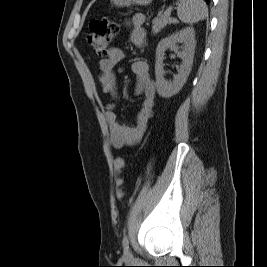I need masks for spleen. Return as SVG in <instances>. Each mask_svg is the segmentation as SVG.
<instances>
[{
	"instance_id": "obj_1",
	"label": "spleen",
	"mask_w": 267,
	"mask_h": 267,
	"mask_svg": "<svg viewBox=\"0 0 267 267\" xmlns=\"http://www.w3.org/2000/svg\"><path fill=\"white\" fill-rule=\"evenodd\" d=\"M178 18L187 24H193L208 16V8L203 0H179Z\"/></svg>"
}]
</instances>
